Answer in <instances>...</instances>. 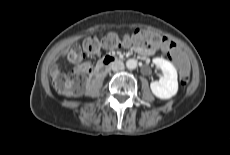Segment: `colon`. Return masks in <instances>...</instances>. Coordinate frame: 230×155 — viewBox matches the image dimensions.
I'll list each match as a JSON object with an SVG mask.
<instances>
[{"label":"colon","mask_w":230,"mask_h":155,"mask_svg":"<svg viewBox=\"0 0 230 155\" xmlns=\"http://www.w3.org/2000/svg\"><path fill=\"white\" fill-rule=\"evenodd\" d=\"M130 44L145 47L161 46L178 66L180 81L187 83L190 80V73L185 66V58L174 42L153 32L137 30L125 35L122 40L118 34L112 32L106 34L102 39L91 36L83 41L81 47L75 46L70 49L68 59L76 64V68L72 75L67 77L57 65H53L50 74L54 88L64 94H72L83 89L90 72V66L82 62L85 55L95 56L100 53L102 48L113 50L121 45Z\"/></svg>","instance_id":"colon-1"}]
</instances>
